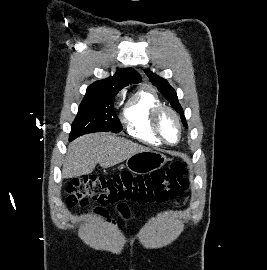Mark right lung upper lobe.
I'll return each instance as SVG.
<instances>
[{
	"mask_svg": "<svg viewBox=\"0 0 267 270\" xmlns=\"http://www.w3.org/2000/svg\"><path fill=\"white\" fill-rule=\"evenodd\" d=\"M141 76L132 68L121 69L113 77L99 80L91 84L87 91L91 90H117L120 91L123 87L139 83Z\"/></svg>",
	"mask_w": 267,
	"mask_h": 270,
	"instance_id": "1",
	"label": "right lung upper lobe"
}]
</instances>
